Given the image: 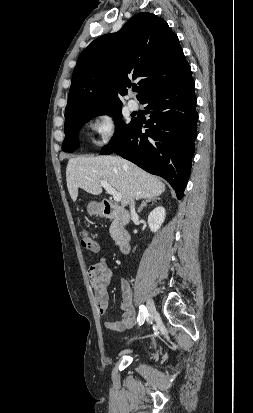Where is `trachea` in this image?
I'll use <instances>...</instances> for the list:
<instances>
[{
	"label": "trachea",
	"instance_id": "trachea-1",
	"mask_svg": "<svg viewBox=\"0 0 253 413\" xmlns=\"http://www.w3.org/2000/svg\"><path fill=\"white\" fill-rule=\"evenodd\" d=\"M133 91H138V88H134Z\"/></svg>",
	"mask_w": 253,
	"mask_h": 413
}]
</instances>
